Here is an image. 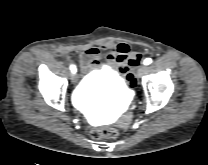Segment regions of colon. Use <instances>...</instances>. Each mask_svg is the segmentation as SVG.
Instances as JSON below:
<instances>
[{
  "label": "colon",
  "mask_w": 208,
  "mask_h": 165,
  "mask_svg": "<svg viewBox=\"0 0 208 165\" xmlns=\"http://www.w3.org/2000/svg\"><path fill=\"white\" fill-rule=\"evenodd\" d=\"M124 78L128 81L131 89H136L138 87V79L135 78L133 72H125ZM91 135L95 139L116 138L119 135V131L113 127L97 128L92 131Z\"/></svg>",
  "instance_id": "colon-1"
}]
</instances>
